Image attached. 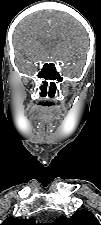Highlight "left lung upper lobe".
<instances>
[{
    "instance_id": "1",
    "label": "left lung upper lobe",
    "mask_w": 101,
    "mask_h": 225,
    "mask_svg": "<svg viewBox=\"0 0 101 225\" xmlns=\"http://www.w3.org/2000/svg\"><path fill=\"white\" fill-rule=\"evenodd\" d=\"M53 225H100L97 218L88 210H78L72 217H60Z\"/></svg>"
}]
</instances>
